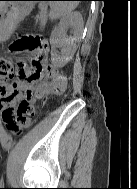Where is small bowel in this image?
<instances>
[{"instance_id": "small-bowel-1", "label": "small bowel", "mask_w": 137, "mask_h": 189, "mask_svg": "<svg viewBox=\"0 0 137 189\" xmlns=\"http://www.w3.org/2000/svg\"><path fill=\"white\" fill-rule=\"evenodd\" d=\"M65 85V78L61 76L55 69H52L50 81L36 89L32 88L25 82L15 83L9 89L6 98L0 101V112L3 121L7 128L13 133H18L22 127L28 126L30 114L23 117H18L15 109L16 103L20 100L22 94H25L27 99L23 101L33 102L37 96L45 94L48 90H59ZM22 101V102H23Z\"/></svg>"}]
</instances>
